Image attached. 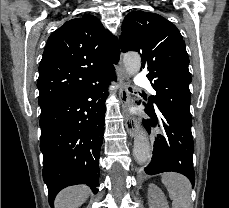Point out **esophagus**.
<instances>
[{
  "mask_svg": "<svg viewBox=\"0 0 229 208\" xmlns=\"http://www.w3.org/2000/svg\"><path fill=\"white\" fill-rule=\"evenodd\" d=\"M121 66V81H120V91H119V98L122 105V112L125 118V128L131 138L138 132L137 121L134 116H132L128 109L132 105L130 92L128 90V86L130 83L129 77L127 76L122 63L120 62Z\"/></svg>",
  "mask_w": 229,
  "mask_h": 208,
  "instance_id": "34e87169",
  "label": "esophagus"
}]
</instances>
